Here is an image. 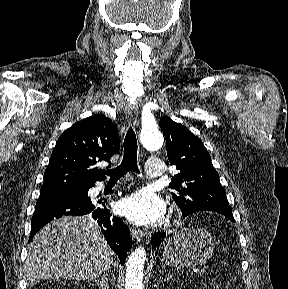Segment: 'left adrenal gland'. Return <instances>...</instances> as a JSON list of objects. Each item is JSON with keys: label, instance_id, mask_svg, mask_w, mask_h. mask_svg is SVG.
<instances>
[{"label": "left adrenal gland", "instance_id": "left-adrenal-gland-1", "mask_svg": "<svg viewBox=\"0 0 288 289\" xmlns=\"http://www.w3.org/2000/svg\"><path fill=\"white\" fill-rule=\"evenodd\" d=\"M168 276V278H172V275L171 274H168V275H166V277Z\"/></svg>", "mask_w": 288, "mask_h": 289}]
</instances>
